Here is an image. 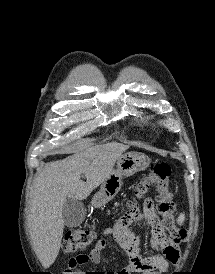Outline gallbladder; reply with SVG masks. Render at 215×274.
<instances>
[{
  "label": "gallbladder",
  "mask_w": 215,
  "mask_h": 274,
  "mask_svg": "<svg viewBox=\"0 0 215 274\" xmlns=\"http://www.w3.org/2000/svg\"><path fill=\"white\" fill-rule=\"evenodd\" d=\"M62 215L64 224L67 227H77L85 219L86 208L80 200L67 198L63 206Z\"/></svg>",
  "instance_id": "bac80fb5"
}]
</instances>
